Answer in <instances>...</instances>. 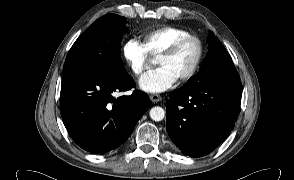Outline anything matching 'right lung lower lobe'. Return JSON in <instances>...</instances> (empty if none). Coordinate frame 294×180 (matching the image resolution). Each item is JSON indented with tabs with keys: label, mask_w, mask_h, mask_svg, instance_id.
Segmentation results:
<instances>
[{
	"label": "right lung lower lobe",
	"mask_w": 294,
	"mask_h": 180,
	"mask_svg": "<svg viewBox=\"0 0 294 180\" xmlns=\"http://www.w3.org/2000/svg\"><path fill=\"white\" fill-rule=\"evenodd\" d=\"M134 86L130 76L85 73L62 79L60 111L73 141L96 154L122 145L152 105L148 95L141 91L114 98V92Z\"/></svg>",
	"instance_id": "1"
}]
</instances>
